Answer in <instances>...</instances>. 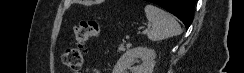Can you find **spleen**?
<instances>
[{
	"label": "spleen",
	"instance_id": "spleen-1",
	"mask_svg": "<svg viewBox=\"0 0 244 73\" xmlns=\"http://www.w3.org/2000/svg\"><path fill=\"white\" fill-rule=\"evenodd\" d=\"M145 13L147 19L152 23V27L147 33L149 40L160 41L181 34V26L168 12L148 4L145 6Z\"/></svg>",
	"mask_w": 244,
	"mask_h": 73
}]
</instances>
